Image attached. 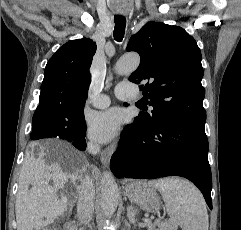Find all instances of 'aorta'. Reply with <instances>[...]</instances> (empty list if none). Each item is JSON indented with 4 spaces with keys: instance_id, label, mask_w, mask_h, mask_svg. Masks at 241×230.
I'll return each instance as SVG.
<instances>
[{
    "instance_id": "aorta-1",
    "label": "aorta",
    "mask_w": 241,
    "mask_h": 230,
    "mask_svg": "<svg viewBox=\"0 0 241 230\" xmlns=\"http://www.w3.org/2000/svg\"><path fill=\"white\" fill-rule=\"evenodd\" d=\"M139 63L140 57L138 54H126L117 61L115 72L119 75H129L138 68ZM118 200L117 183L110 172H104L101 179V209L106 218H110L115 213Z\"/></svg>"
}]
</instances>
